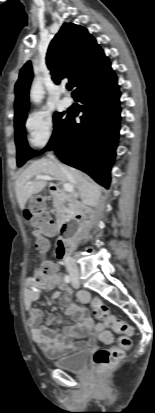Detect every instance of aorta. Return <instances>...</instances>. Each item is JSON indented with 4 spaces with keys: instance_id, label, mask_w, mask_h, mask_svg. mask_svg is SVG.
Returning a JSON list of instances; mask_svg holds the SVG:
<instances>
[{
    "instance_id": "762f6f07",
    "label": "aorta",
    "mask_w": 155,
    "mask_h": 413,
    "mask_svg": "<svg viewBox=\"0 0 155 413\" xmlns=\"http://www.w3.org/2000/svg\"><path fill=\"white\" fill-rule=\"evenodd\" d=\"M43 96H44V89L42 86V82L39 78H37L32 84L31 91H30V98L33 103L39 104L41 103Z\"/></svg>"
}]
</instances>
